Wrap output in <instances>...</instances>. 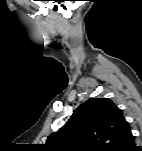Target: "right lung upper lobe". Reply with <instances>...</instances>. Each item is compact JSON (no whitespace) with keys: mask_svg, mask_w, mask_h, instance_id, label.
I'll return each instance as SVG.
<instances>
[{"mask_svg":"<svg viewBox=\"0 0 142 151\" xmlns=\"http://www.w3.org/2000/svg\"><path fill=\"white\" fill-rule=\"evenodd\" d=\"M133 140L122 111L108 98H93L48 137L45 147L49 151H121Z\"/></svg>","mask_w":142,"mask_h":151,"instance_id":"1","label":"right lung upper lobe"}]
</instances>
